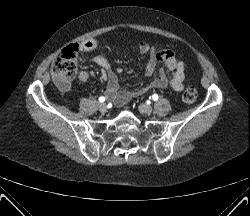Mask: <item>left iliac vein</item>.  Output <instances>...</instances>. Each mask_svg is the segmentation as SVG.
I'll use <instances>...</instances> for the list:
<instances>
[{
    "mask_svg": "<svg viewBox=\"0 0 250 216\" xmlns=\"http://www.w3.org/2000/svg\"><path fill=\"white\" fill-rule=\"evenodd\" d=\"M139 110L143 114H150L153 111V108L150 105L147 104H140L139 105Z\"/></svg>",
    "mask_w": 250,
    "mask_h": 216,
    "instance_id": "1",
    "label": "left iliac vein"
}]
</instances>
